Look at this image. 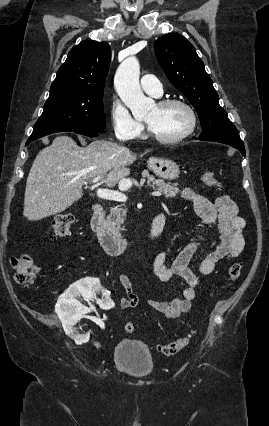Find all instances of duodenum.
Returning a JSON list of instances; mask_svg holds the SVG:
<instances>
[{
	"label": "duodenum",
	"instance_id": "duodenum-1",
	"mask_svg": "<svg viewBox=\"0 0 269 426\" xmlns=\"http://www.w3.org/2000/svg\"><path fill=\"white\" fill-rule=\"evenodd\" d=\"M165 223V214L160 211L152 220L148 233L142 238L130 241L107 226L104 218V209L101 204L93 206L91 218L93 231L97 234L106 253L112 256L123 254L130 249L157 239L162 234Z\"/></svg>",
	"mask_w": 269,
	"mask_h": 426
}]
</instances>
